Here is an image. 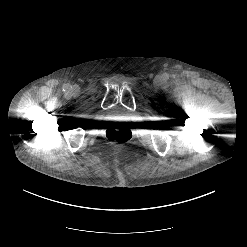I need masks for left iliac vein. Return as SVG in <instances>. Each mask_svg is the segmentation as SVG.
Masks as SVG:
<instances>
[{"label":"left iliac vein","instance_id":"1","mask_svg":"<svg viewBox=\"0 0 247 247\" xmlns=\"http://www.w3.org/2000/svg\"><path fill=\"white\" fill-rule=\"evenodd\" d=\"M161 77H159V76H157L156 78H155V83L156 84H160L161 83Z\"/></svg>","mask_w":247,"mask_h":247}]
</instances>
